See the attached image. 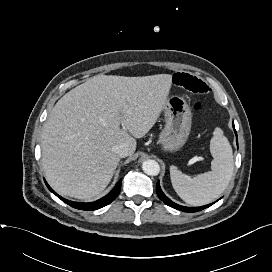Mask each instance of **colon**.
<instances>
[{
    "label": "colon",
    "instance_id": "1",
    "mask_svg": "<svg viewBox=\"0 0 272 272\" xmlns=\"http://www.w3.org/2000/svg\"><path fill=\"white\" fill-rule=\"evenodd\" d=\"M203 107V103L200 101H197L194 103L193 108L195 111H200Z\"/></svg>",
    "mask_w": 272,
    "mask_h": 272
}]
</instances>
